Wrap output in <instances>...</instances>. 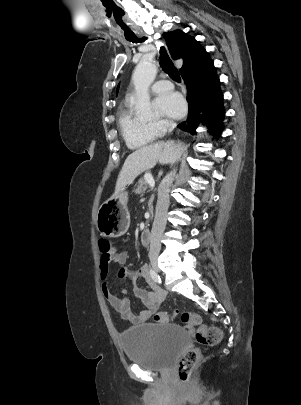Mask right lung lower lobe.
<instances>
[{"instance_id": "1", "label": "right lung lower lobe", "mask_w": 301, "mask_h": 405, "mask_svg": "<svg viewBox=\"0 0 301 405\" xmlns=\"http://www.w3.org/2000/svg\"><path fill=\"white\" fill-rule=\"evenodd\" d=\"M181 75L187 86L189 111L188 119L178 127L194 134L198 124L205 121L209 132L215 137L219 136L224 128L225 110L213 62L209 58Z\"/></svg>"}]
</instances>
